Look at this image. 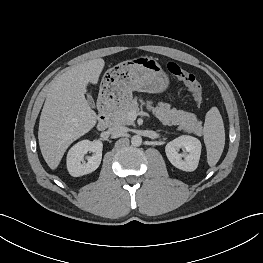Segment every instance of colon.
<instances>
[{
	"instance_id": "5ec220e1",
	"label": "colon",
	"mask_w": 263,
	"mask_h": 263,
	"mask_svg": "<svg viewBox=\"0 0 263 263\" xmlns=\"http://www.w3.org/2000/svg\"><path fill=\"white\" fill-rule=\"evenodd\" d=\"M167 69L171 75L182 81L188 87L197 103L201 104L203 101V91L196 77L175 62H169Z\"/></svg>"
}]
</instances>
